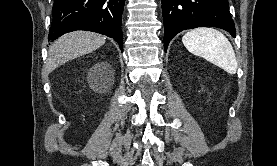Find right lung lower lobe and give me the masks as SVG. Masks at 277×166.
<instances>
[{"instance_id":"1","label":"right lung lower lobe","mask_w":277,"mask_h":166,"mask_svg":"<svg viewBox=\"0 0 277 166\" xmlns=\"http://www.w3.org/2000/svg\"><path fill=\"white\" fill-rule=\"evenodd\" d=\"M125 0H55L49 41L64 33L87 30L113 38L122 50L121 20Z\"/></svg>"}]
</instances>
